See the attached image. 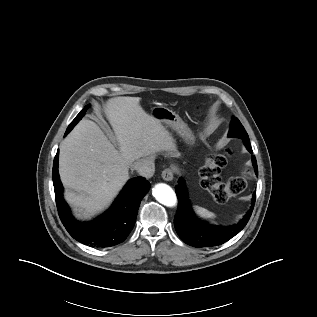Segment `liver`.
Segmentation results:
<instances>
[{"label":"liver","mask_w":317,"mask_h":317,"mask_svg":"<svg viewBox=\"0 0 317 317\" xmlns=\"http://www.w3.org/2000/svg\"><path fill=\"white\" fill-rule=\"evenodd\" d=\"M140 101L114 97L106 102L104 113L115 133L113 140L95 122L82 120L62 142L59 174L65 199L78 217L89 218L106 209L129 179L134 162L154 160L164 151L179 156L176 140Z\"/></svg>","instance_id":"liver-1"}]
</instances>
